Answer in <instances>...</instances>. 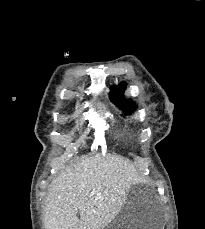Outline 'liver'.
Returning <instances> with one entry per match:
<instances>
[{"label":"liver","instance_id":"liver-1","mask_svg":"<svg viewBox=\"0 0 205 229\" xmlns=\"http://www.w3.org/2000/svg\"><path fill=\"white\" fill-rule=\"evenodd\" d=\"M136 180L133 164L120 156H83L52 181L45 229H104L119 213Z\"/></svg>","mask_w":205,"mask_h":229}]
</instances>
